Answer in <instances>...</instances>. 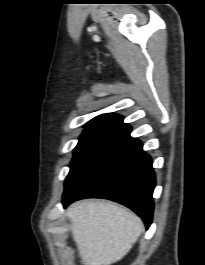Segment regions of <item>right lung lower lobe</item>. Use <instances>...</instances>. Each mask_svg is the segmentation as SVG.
Returning <instances> with one entry per match:
<instances>
[{"label": "right lung lower lobe", "mask_w": 205, "mask_h": 265, "mask_svg": "<svg viewBox=\"0 0 205 265\" xmlns=\"http://www.w3.org/2000/svg\"><path fill=\"white\" fill-rule=\"evenodd\" d=\"M131 128L86 170L74 186L63 194L66 207L85 198H104L121 203L144 221L148 228L153 215L155 173L142 143L130 136Z\"/></svg>", "instance_id": "right-lung-lower-lobe-1"}]
</instances>
